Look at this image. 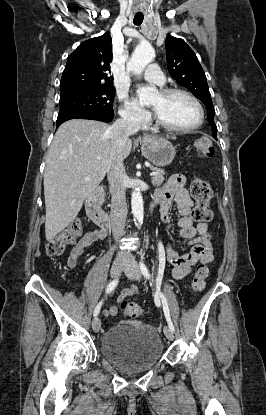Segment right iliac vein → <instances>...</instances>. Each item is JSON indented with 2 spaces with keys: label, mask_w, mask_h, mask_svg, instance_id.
Segmentation results:
<instances>
[{
  "label": "right iliac vein",
  "mask_w": 266,
  "mask_h": 415,
  "mask_svg": "<svg viewBox=\"0 0 266 415\" xmlns=\"http://www.w3.org/2000/svg\"><path fill=\"white\" fill-rule=\"evenodd\" d=\"M124 266H125V260H122V259L115 260L112 264L111 271H110L111 277L112 278L118 277L120 273L122 272ZM92 328L94 332H99V330L101 329V321L99 317L96 316L93 319Z\"/></svg>",
  "instance_id": "63e3f726"
}]
</instances>
